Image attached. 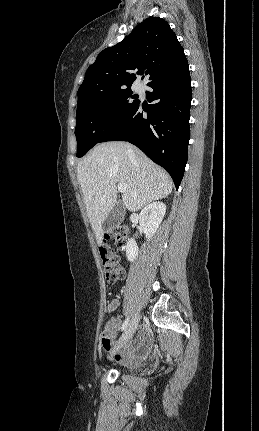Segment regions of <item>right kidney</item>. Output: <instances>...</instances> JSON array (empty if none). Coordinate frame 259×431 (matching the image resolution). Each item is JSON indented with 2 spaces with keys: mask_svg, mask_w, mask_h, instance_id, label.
Segmentation results:
<instances>
[{
  "mask_svg": "<svg viewBox=\"0 0 259 431\" xmlns=\"http://www.w3.org/2000/svg\"><path fill=\"white\" fill-rule=\"evenodd\" d=\"M166 212L163 202H153L143 208L139 214V223L146 238L150 240L159 228ZM138 246L134 239H129L126 245V257L128 261L134 262L138 256Z\"/></svg>",
  "mask_w": 259,
  "mask_h": 431,
  "instance_id": "1",
  "label": "right kidney"
}]
</instances>
